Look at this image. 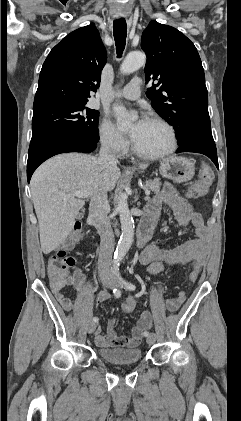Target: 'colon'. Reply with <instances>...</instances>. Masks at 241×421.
<instances>
[{
    "label": "colon",
    "instance_id": "1",
    "mask_svg": "<svg viewBox=\"0 0 241 421\" xmlns=\"http://www.w3.org/2000/svg\"><path fill=\"white\" fill-rule=\"evenodd\" d=\"M213 180V172L209 165L202 164L199 170L197 181L188 189L186 197L196 199L206 195ZM83 235L81 223L77 222L66 242L52 255L47 261V273L51 284L56 287L64 286L74 280V274L71 275L70 268L75 265L73 257L67 254V250L78 242ZM166 270V264L163 261H153L148 266L150 276H159ZM195 272L190 273V280L195 279ZM137 295H130L121 305L124 313H131L136 306Z\"/></svg>",
    "mask_w": 241,
    "mask_h": 421
}]
</instances>
